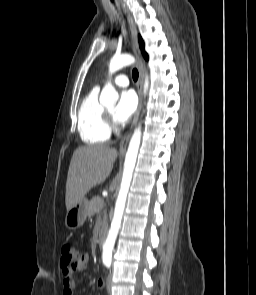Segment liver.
<instances>
[{"label":"liver","instance_id":"1","mask_svg":"<svg viewBox=\"0 0 256 295\" xmlns=\"http://www.w3.org/2000/svg\"><path fill=\"white\" fill-rule=\"evenodd\" d=\"M117 150L107 145H89L76 149L71 158L65 204L67 211L75 206L96 185L110 175ZM115 187L112 183L111 189Z\"/></svg>","mask_w":256,"mask_h":295}]
</instances>
